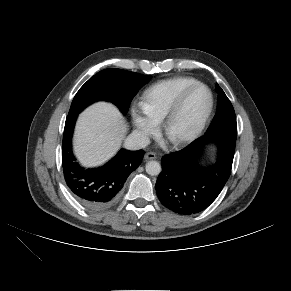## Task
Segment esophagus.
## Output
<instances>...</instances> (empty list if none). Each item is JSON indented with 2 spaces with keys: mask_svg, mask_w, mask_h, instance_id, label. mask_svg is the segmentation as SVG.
I'll return each mask as SVG.
<instances>
[{
  "mask_svg": "<svg viewBox=\"0 0 291 291\" xmlns=\"http://www.w3.org/2000/svg\"><path fill=\"white\" fill-rule=\"evenodd\" d=\"M156 158H157V156H156V154L153 153V152H148V153H146L145 156H144V160H145V161L153 160V159H156Z\"/></svg>",
  "mask_w": 291,
  "mask_h": 291,
  "instance_id": "1",
  "label": "esophagus"
}]
</instances>
